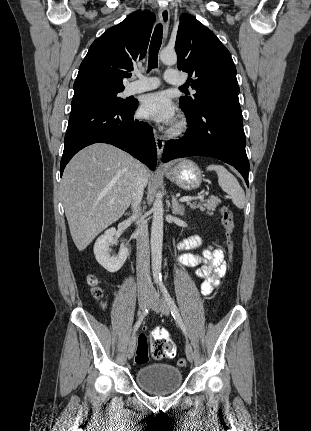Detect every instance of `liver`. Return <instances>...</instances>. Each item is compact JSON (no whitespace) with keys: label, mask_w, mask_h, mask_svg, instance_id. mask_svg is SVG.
<instances>
[{"label":"liver","mask_w":311,"mask_h":431,"mask_svg":"<svg viewBox=\"0 0 311 431\" xmlns=\"http://www.w3.org/2000/svg\"><path fill=\"white\" fill-rule=\"evenodd\" d=\"M138 174L147 186L148 168L108 144L88 146L67 164L61 192L70 233L79 251L125 214Z\"/></svg>","instance_id":"obj_1"}]
</instances>
